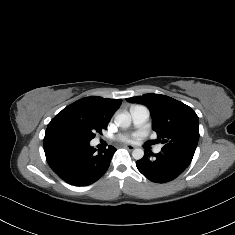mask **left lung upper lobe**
Segmentation results:
<instances>
[{"label": "left lung upper lobe", "mask_w": 235, "mask_h": 235, "mask_svg": "<svg viewBox=\"0 0 235 235\" xmlns=\"http://www.w3.org/2000/svg\"><path fill=\"white\" fill-rule=\"evenodd\" d=\"M146 105L152 116V127L163 149L193 156L199 140L198 116L193 109L171 97L144 94L126 99Z\"/></svg>", "instance_id": "left-lung-upper-lobe-1"}]
</instances>
